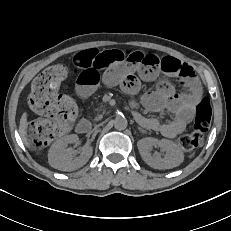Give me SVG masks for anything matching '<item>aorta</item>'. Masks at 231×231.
Wrapping results in <instances>:
<instances>
[{"label": "aorta", "instance_id": "aorta-1", "mask_svg": "<svg viewBox=\"0 0 231 231\" xmlns=\"http://www.w3.org/2000/svg\"><path fill=\"white\" fill-rule=\"evenodd\" d=\"M128 121L124 116H117L114 120V127L117 130H124L127 128Z\"/></svg>", "mask_w": 231, "mask_h": 231}]
</instances>
